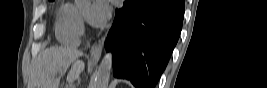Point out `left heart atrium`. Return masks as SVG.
Masks as SVG:
<instances>
[{"instance_id": "obj_1", "label": "left heart atrium", "mask_w": 267, "mask_h": 88, "mask_svg": "<svg viewBox=\"0 0 267 88\" xmlns=\"http://www.w3.org/2000/svg\"><path fill=\"white\" fill-rule=\"evenodd\" d=\"M109 15L110 8L108 3L104 0H98L91 5L87 18L91 25L100 27L107 22Z\"/></svg>"}]
</instances>
